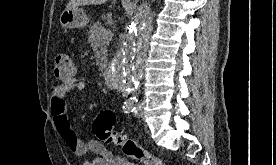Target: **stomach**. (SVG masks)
Returning <instances> with one entry per match:
<instances>
[{
	"label": "stomach",
	"instance_id": "0dacf381",
	"mask_svg": "<svg viewBox=\"0 0 276 165\" xmlns=\"http://www.w3.org/2000/svg\"><path fill=\"white\" fill-rule=\"evenodd\" d=\"M60 24L64 28H83L89 23V18L82 8L65 9L60 15Z\"/></svg>",
	"mask_w": 276,
	"mask_h": 165
}]
</instances>
